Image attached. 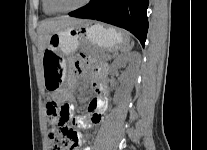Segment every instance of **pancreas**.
Here are the masks:
<instances>
[{
  "label": "pancreas",
  "instance_id": "1",
  "mask_svg": "<svg viewBox=\"0 0 207 150\" xmlns=\"http://www.w3.org/2000/svg\"><path fill=\"white\" fill-rule=\"evenodd\" d=\"M106 58H107V55H105V56L103 57V60H106Z\"/></svg>",
  "mask_w": 207,
  "mask_h": 150
}]
</instances>
